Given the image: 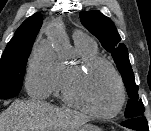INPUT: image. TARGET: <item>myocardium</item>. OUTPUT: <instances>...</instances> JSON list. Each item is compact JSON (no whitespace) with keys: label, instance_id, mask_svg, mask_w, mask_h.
<instances>
[{"label":"myocardium","instance_id":"f54148a6","mask_svg":"<svg viewBox=\"0 0 151 131\" xmlns=\"http://www.w3.org/2000/svg\"><path fill=\"white\" fill-rule=\"evenodd\" d=\"M97 65L106 66L115 77V80L118 85L117 105L112 111L107 112V113L98 112L90 108L86 104V102L82 99V97L80 96L78 92L79 81L90 69H92L93 67ZM64 97L66 101L69 102L71 105L75 106L76 108L82 110L83 112L87 113L88 115L94 118L111 119L117 116L121 112L125 104L126 90H125L123 79L120 73L118 72V70L115 68V66L110 61H108L107 59L103 57L92 56V57L83 59L81 62L75 65L73 69L69 72L64 83Z\"/></svg>","mask_w":151,"mask_h":131}]
</instances>
